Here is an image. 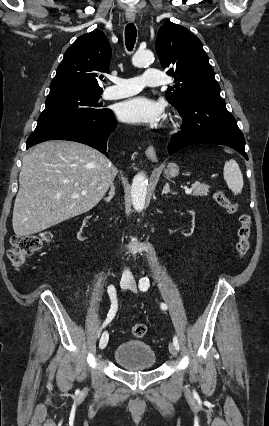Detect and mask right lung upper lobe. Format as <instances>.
<instances>
[{
	"label": "right lung upper lobe",
	"instance_id": "1",
	"mask_svg": "<svg viewBox=\"0 0 269 426\" xmlns=\"http://www.w3.org/2000/svg\"><path fill=\"white\" fill-rule=\"evenodd\" d=\"M111 47L102 31L80 36L70 46L50 84V92L66 89L103 92L98 79L109 73Z\"/></svg>",
	"mask_w": 269,
	"mask_h": 426
}]
</instances>
